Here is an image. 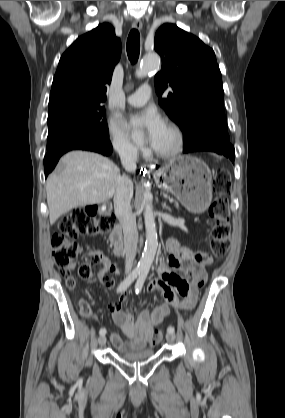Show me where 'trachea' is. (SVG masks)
<instances>
[{"label":"trachea","mask_w":285,"mask_h":418,"mask_svg":"<svg viewBox=\"0 0 285 418\" xmlns=\"http://www.w3.org/2000/svg\"><path fill=\"white\" fill-rule=\"evenodd\" d=\"M127 54L131 63H136L140 54V34L133 29L127 39Z\"/></svg>","instance_id":"trachea-1"}]
</instances>
